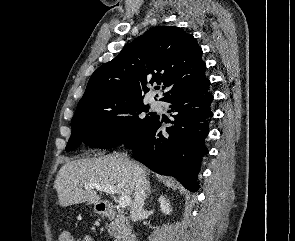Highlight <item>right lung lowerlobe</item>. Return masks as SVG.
Returning <instances> with one entry per match:
<instances>
[{"label":"right lung lower lobe","instance_id":"right-lung-lower-lobe-1","mask_svg":"<svg viewBox=\"0 0 295 241\" xmlns=\"http://www.w3.org/2000/svg\"><path fill=\"white\" fill-rule=\"evenodd\" d=\"M209 80L170 96L169 113L172 119L159 116L141 133L125 142L133 150L134 158L153 171L177 178L189 191L196 192L202 157L208 153L204 140L213 116L210 105ZM169 126L163 132V123Z\"/></svg>","mask_w":295,"mask_h":241}]
</instances>
